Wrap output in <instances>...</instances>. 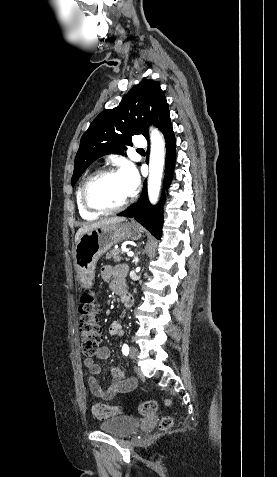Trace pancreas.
Returning <instances> with one entry per match:
<instances>
[{
  "mask_svg": "<svg viewBox=\"0 0 277 477\" xmlns=\"http://www.w3.org/2000/svg\"><path fill=\"white\" fill-rule=\"evenodd\" d=\"M123 254V251L120 249H111L107 254H106V259L107 260H112L114 262H120L122 257L121 255Z\"/></svg>",
  "mask_w": 277,
  "mask_h": 477,
  "instance_id": "cf45deb5",
  "label": "pancreas"
}]
</instances>
